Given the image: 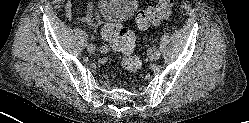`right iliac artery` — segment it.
I'll return each instance as SVG.
<instances>
[{
	"label": "right iliac artery",
	"mask_w": 249,
	"mask_h": 123,
	"mask_svg": "<svg viewBox=\"0 0 249 123\" xmlns=\"http://www.w3.org/2000/svg\"><path fill=\"white\" fill-rule=\"evenodd\" d=\"M101 53H107L109 51V48L107 46L100 47Z\"/></svg>",
	"instance_id": "right-iliac-artery-1"
}]
</instances>
